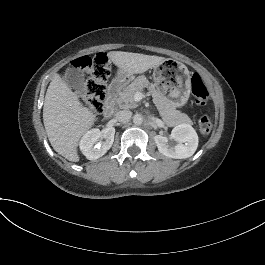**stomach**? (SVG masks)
<instances>
[{
  "instance_id": "0dacf381",
  "label": "stomach",
  "mask_w": 265,
  "mask_h": 265,
  "mask_svg": "<svg viewBox=\"0 0 265 265\" xmlns=\"http://www.w3.org/2000/svg\"><path fill=\"white\" fill-rule=\"evenodd\" d=\"M120 81L128 80L129 76L118 71ZM155 88L171 100L175 107L184 106L191 92V76L188 68L174 59H166L156 65L153 70Z\"/></svg>"
}]
</instances>
